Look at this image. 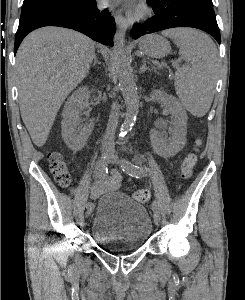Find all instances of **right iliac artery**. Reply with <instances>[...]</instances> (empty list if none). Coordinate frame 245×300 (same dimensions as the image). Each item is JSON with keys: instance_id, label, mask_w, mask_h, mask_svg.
<instances>
[{"instance_id": "82829eb1", "label": "right iliac artery", "mask_w": 245, "mask_h": 300, "mask_svg": "<svg viewBox=\"0 0 245 300\" xmlns=\"http://www.w3.org/2000/svg\"><path fill=\"white\" fill-rule=\"evenodd\" d=\"M108 173L107 162L105 156L98 159L96 163V174L98 178L104 179ZM87 205H93V202H88Z\"/></svg>"}]
</instances>
